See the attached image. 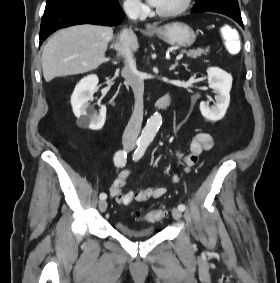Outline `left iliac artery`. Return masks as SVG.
<instances>
[{
    "instance_id": "44dca946",
    "label": "left iliac artery",
    "mask_w": 280,
    "mask_h": 283,
    "mask_svg": "<svg viewBox=\"0 0 280 283\" xmlns=\"http://www.w3.org/2000/svg\"><path fill=\"white\" fill-rule=\"evenodd\" d=\"M147 146H148L147 143H143V144L138 145V148L135 150V152L133 154V160L137 161L138 159H140L144 155V153L147 149ZM178 209L181 210V211H184L185 205L179 204Z\"/></svg>"
}]
</instances>
